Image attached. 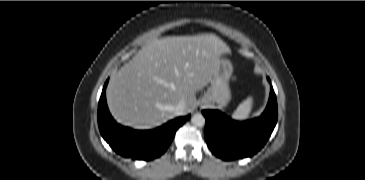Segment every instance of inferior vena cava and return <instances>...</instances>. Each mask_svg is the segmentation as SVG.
I'll use <instances>...</instances> for the list:
<instances>
[{"label": "inferior vena cava", "mask_w": 365, "mask_h": 180, "mask_svg": "<svg viewBox=\"0 0 365 180\" xmlns=\"http://www.w3.org/2000/svg\"><path fill=\"white\" fill-rule=\"evenodd\" d=\"M184 109H185V103L184 101H180L174 108L175 112L180 115V114H183L184 112Z\"/></svg>", "instance_id": "602c4592"}]
</instances>
